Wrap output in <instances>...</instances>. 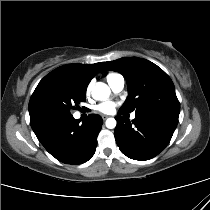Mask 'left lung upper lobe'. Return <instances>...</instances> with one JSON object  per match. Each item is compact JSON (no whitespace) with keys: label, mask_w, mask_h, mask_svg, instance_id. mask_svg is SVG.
Segmentation results:
<instances>
[{"label":"left lung upper lobe","mask_w":210,"mask_h":210,"mask_svg":"<svg viewBox=\"0 0 210 210\" xmlns=\"http://www.w3.org/2000/svg\"><path fill=\"white\" fill-rule=\"evenodd\" d=\"M103 71L123 74L128 83V97L120 108L135 114L165 112L179 115L180 104L170 77L154 63L138 57H123L103 63Z\"/></svg>","instance_id":"obj_1"}]
</instances>
